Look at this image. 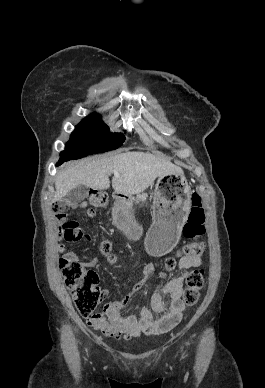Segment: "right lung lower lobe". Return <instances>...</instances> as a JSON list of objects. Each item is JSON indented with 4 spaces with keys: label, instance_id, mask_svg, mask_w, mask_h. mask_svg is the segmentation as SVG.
I'll return each instance as SVG.
<instances>
[{
    "label": "right lung lower lobe",
    "instance_id": "1",
    "mask_svg": "<svg viewBox=\"0 0 265 388\" xmlns=\"http://www.w3.org/2000/svg\"><path fill=\"white\" fill-rule=\"evenodd\" d=\"M62 163V161H59L58 163H57V165H59V164H61Z\"/></svg>",
    "mask_w": 265,
    "mask_h": 388
}]
</instances>
